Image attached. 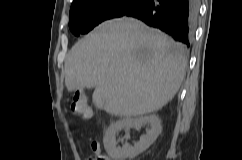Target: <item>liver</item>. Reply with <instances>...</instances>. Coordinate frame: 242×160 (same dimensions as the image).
<instances>
[{
    "label": "liver",
    "instance_id": "1",
    "mask_svg": "<svg viewBox=\"0 0 242 160\" xmlns=\"http://www.w3.org/2000/svg\"><path fill=\"white\" fill-rule=\"evenodd\" d=\"M186 49L157 29L128 17L105 21L78 41L65 61L69 92L94 88V105L133 117L153 113L178 92Z\"/></svg>",
    "mask_w": 242,
    "mask_h": 160
}]
</instances>
